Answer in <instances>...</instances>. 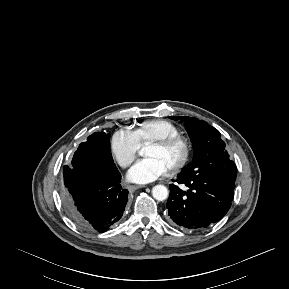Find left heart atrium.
<instances>
[{
    "mask_svg": "<svg viewBox=\"0 0 289 289\" xmlns=\"http://www.w3.org/2000/svg\"><path fill=\"white\" fill-rule=\"evenodd\" d=\"M167 172L165 166L157 159L146 158L136 163L128 173V179L136 183H149Z\"/></svg>",
    "mask_w": 289,
    "mask_h": 289,
    "instance_id": "39dd6f15",
    "label": "left heart atrium"
}]
</instances>
